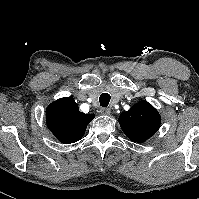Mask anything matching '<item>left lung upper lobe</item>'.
<instances>
[{"instance_id":"left-lung-upper-lobe-1","label":"left lung upper lobe","mask_w":199,"mask_h":199,"mask_svg":"<svg viewBox=\"0 0 199 199\" xmlns=\"http://www.w3.org/2000/svg\"><path fill=\"white\" fill-rule=\"evenodd\" d=\"M161 117L147 101H139L130 110L119 116V124L125 135L132 141L142 143L159 129Z\"/></svg>"}]
</instances>
